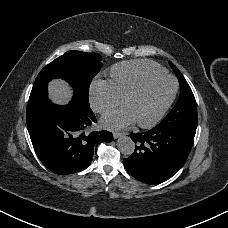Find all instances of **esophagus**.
I'll use <instances>...</instances> for the list:
<instances>
[{"mask_svg": "<svg viewBox=\"0 0 228 228\" xmlns=\"http://www.w3.org/2000/svg\"><path fill=\"white\" fill-rule=\"evenodd\" d=\"M124 135H125L124 132H115V133H113L114 139H118L119 137L124 136Z\"/></svg>", "mask_w": 228, "mask_h": 228, "instance_id": "1", "label": "esophagus"}]
</instances>
